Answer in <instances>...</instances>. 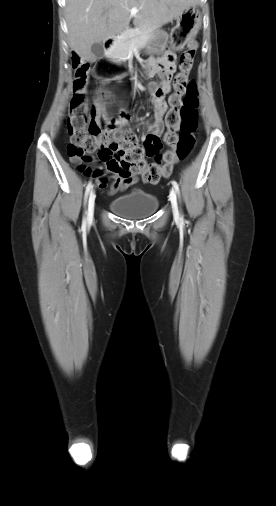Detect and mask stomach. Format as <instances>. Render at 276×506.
I'll use <instances>...</instances> for the list:
<instances>
[{"instance_id": "obj_1", "label": "stomach", "mask_w": 276, "mask_h": 506, "mask_svg": "<svg viewBox=\"0 0 276 506\" xmlns=\"http://www.w3.org/2000/svg\"><path fill=\"white\" fill-rule=\"evenodd\" d=\"M177 24L170 35L159 31L153 35L144 49L147 54L160 55L168 44L175 51L184 49L196 36L201 26V15L195 5L184 9L177 17Z\"/></svg>"}]
</instances>
